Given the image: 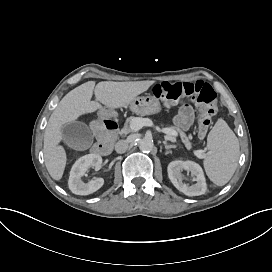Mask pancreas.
Segmentation results:
<instances>
[{
  "label": "pancreas",
  "instance_id": "cf45deb5",
  "mask_svg": "<svg viewBox=\"0 0 272 272\" xmlns=\"http://www.w3.org/2000/svg\"><path fill=\"white\" fill-rule=\"evenodd\" d=\"M135 117L130 116L129 118L126 119V123L124 128L120 131V134H128L130 133L132 130L130 128V122L134 119ZM168 128L172 129V130H176L180 136L181 142L184 144L185 148L187 150H191L192 147L194 146V143H191L186 132L184 130H182L181 128L177 127V126H168Z\"/></svg>",
  "mask_w": 272,
  "mask_h": 272
}]
</instances>
